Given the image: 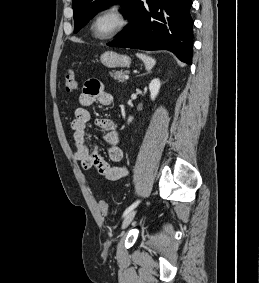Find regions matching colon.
Returning <instances> with one entry per match:
<instances>
[{
	"mask_svg": "<svg viewBox=\"0 0 259 283\" xmlns=\"http://www.w3.org/2000/svg\"><path fill=\"white\" fill-rule=\"evenodd\" d=\"M64 86L67 92H74L77 88V78L73 70H69L65 74ZM99 210L102 214L108 213V204L105 201L99 202Z\"/></svg>",
	"mask_w": 259,
	"mask_h": 283,
	"instance_id": "obj_1",
	"label": "colon"
}]
</instances>
